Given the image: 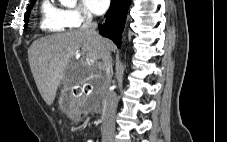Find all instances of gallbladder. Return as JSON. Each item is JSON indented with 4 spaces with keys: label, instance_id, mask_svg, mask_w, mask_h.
I'll return each mask as SVG.
<instances>
[{
    "label": "gallbladder",
    "instance_id": "gallbladder-1",
    "mask_svg": "<svg viewBox=\"0 0 227 142\" xmlns=\"http://www.w3.org/2000/svg\"><path fill=\"white\" fill-rule=\"evenodd\" d=\"M62 100L60 101V105L63 109H65L66 113L72 112V104L74 101L72 93H62L61 94Z\"/></svg>",
    "mask_w": 227,
    "mask_h": 142
}]
</instances>
